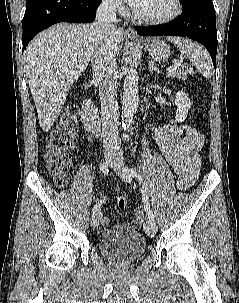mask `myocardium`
Segmentation results:
<instances>
[{"instance_id": "f54148a6", "label": "myocardium", "mask_w": 239, "mask_h": 303, "mask_svg": "<svg viewBox=\"0 0 239 303\" xmlns=\"http://www.w3.org/2000/svg\"><path fill=\"white\" fill-rule=\"evenodd\" d=\"M173 4H174L173 11L164 16H159V17L144 16L137 13V11H134L133 15L136 20L145 24H150V25L166 24L177 19L183 12L182 0H173Z\"/></svg>"}]
</instances>
